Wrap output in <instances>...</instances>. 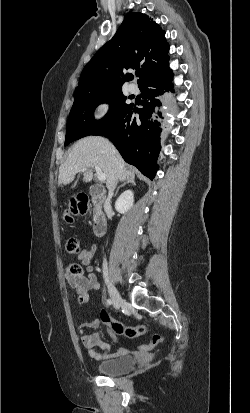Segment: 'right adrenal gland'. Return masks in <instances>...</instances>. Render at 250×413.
Masks as SVG:
<instances>
[{
	"label": "right adrenal gland",
	"mask_w": 250,
	"mask_h": 413,
	"mask_svg": "<svg viewBox=\"0 0 250 413\" xmlns=\"http://www.w3.org/2000/svg\"><path fill=\"white\" fill-rule=\"evenodd\" d=\"M126 184H131V185L135 186V185H136V183H135V178H134L133 176L128 177V178L126 179V181L123 182V184H121V185L117 188L114 196H116L117 193H118V191H119V189H120L121 187L125 186Z\"/></svg>",
	"instance_id": "1"
}]
</instances>
